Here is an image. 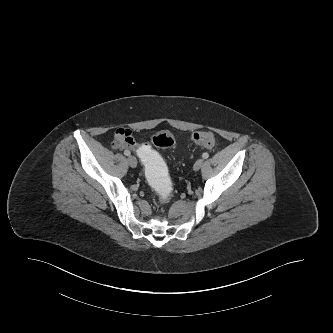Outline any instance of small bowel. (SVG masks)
I'll return each mask as SVG.
<instances>
[{
	"mask_svg": "<svg viewBox=\"0 0 333 333\" xmlns=\"http://www.w3.org/2000/svg\"><path fill=\"white\" fill-rule=\"evenodd\" d=\"M136 136L129 129H117L112 134V145L114 149L120 153L129 151H137Z\"/></svg>",
	"mask_w": 333,
	"mask_h": 333,
	"instance_id": "c3829d8e",
	"label": "small bowel"
}]
</instances>
